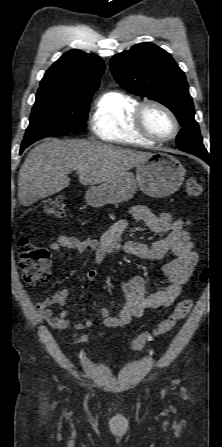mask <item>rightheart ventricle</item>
<instances>
[{
    "mask_svg": "<svg viewBox=\"0 0 222 447\" xmlns=\"http://www.w3.org/2000/svg\"><path fill=\"white\" fill-rule=\"evenodd\" d=\"M138 104V99L124 92H105L95 104L91 118L92 132L99 139L111 143L153 144L135 127L133 115Z\"/></svg>",
    "mask_w": 222,
    "mask_h": 447,
    "instance_id": "obj_1",
    "label": "right heart ventricle"
}]
</instances>
